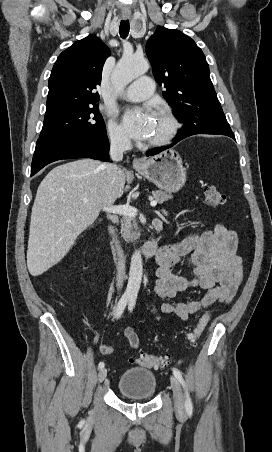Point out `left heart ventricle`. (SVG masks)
I'll list each match as a JSON object with an SVG mask.
<instances>
[{"label": "left heart ventricle", "mask_w": 272, "mask_h": 452, "mask_svg": "<svg viewBox=\"0 0 272 452\" xmlns=\"http://www.w3.org/2000/svg\"><path fill=\"white\" fill-rule=\"evenodd\" d=\"M168 124L166 119L158 114L152 121L151 132L148 136V140H153L161 137L167 130Z\"/></svg>", "instance_id": "1"}]
</instances>
